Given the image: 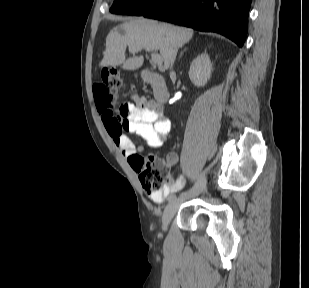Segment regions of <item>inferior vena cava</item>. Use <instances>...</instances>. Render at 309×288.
<instances>
[{
    "instance_id": "602c4592",
    "label": "inferior vena cava",
    "mask_w": 309,
    "mask_h": 288,
    "mask_svg": "<svg viewBox=\"0 0 309 288\" xmlns=\"http://www.w3.org/2000/svg\"><path fill=\"white\" fill-rule=\"evenodd\" d=\"M177 50H178V45H175L172 50H171V54H170V67H173L174 61H175V57L177 54Z\"/></svg>"
}]
</instances>
